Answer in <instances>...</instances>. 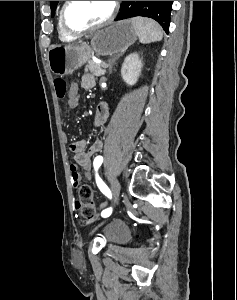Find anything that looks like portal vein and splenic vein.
I'll return each instance as SVG.
<instances>
[{"label": "portal vein and splenic vein", "mask_w": 237, "mask_h": 300, "mask_svg": "<svg viewBox=\"0 0 237 300\" xmlns=\"http://www.w3.org/2000/svg\"><path fill=\"white\" fill-rule=\"evenodd\" d=\"M107 64H108V63L105 62L101 67H102L103 69H105V68L107 69V68L109 67Z\"/></svg>", "instance_id": "portal-vein-and-splenic-vein-1"}]
</instances>
